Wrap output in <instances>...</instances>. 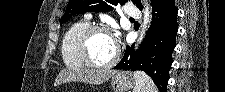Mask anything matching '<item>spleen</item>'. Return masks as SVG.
I'll return each instance as SVG.
<instances>
[{
  "label": "spleen",
  "instance_id": "3e777b00",
  "mask_svg": "<svg viewBox=\"0 0 225 92\" xmlns=\"http://www.w3.org/2000/svg\"><path fill=\"white\" fill-rule=\"evenodd\" d=\"M135 87L133 92H158L152 79L143 71L134 72Z\"/></svg>",
  "mask_w": 225,
  "mask_h": 92
}]
</instances>
